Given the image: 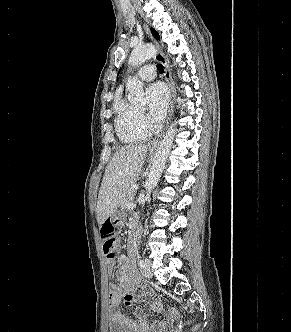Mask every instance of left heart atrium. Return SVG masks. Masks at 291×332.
<instances>
[{
  "instance_id": "left-heart-atrium-1",
  "label": "left heart atrium",
  "mask_w": 291,
  "mask_h": 332,
  "mask_svg": "<svg viewBox=\"0 0 291 332\" xmlns=\"http://www.w3.org/2000/svg\"><path fill=\"white\" fill-rule=\"evenodd\" d=\"M147 94L150 98L148 116L152 122L158 123L162 121L167 111L168 91L162 83H154L148 87Z\"/></svg>"
}]
</instances>
